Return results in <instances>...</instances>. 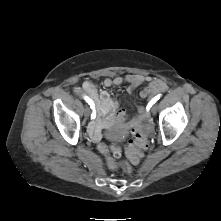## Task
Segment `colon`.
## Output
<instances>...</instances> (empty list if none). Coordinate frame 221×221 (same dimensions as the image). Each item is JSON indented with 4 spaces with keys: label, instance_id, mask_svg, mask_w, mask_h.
<instances>
[{
    "label": "colon",
    "instance_id": "obj_1",
    "mask_svg": "<svg viewBox=\"0 0 221 221\" xmlns=\"http://www.w3.org/2000/svg\"><path fill=\"white\" fill-rule=\"evenodd\" d=\"M132 139L125 147V155L129 159L130 163L137 164L143 156V151L147 148V140L136 129L131 131ZM98 150L106 157L108 165L111 168L117 167L116 160L121 156L122 150L119 146L108 145L106 143H99ZM122 168L126 173L132 172V167L129 163H122Z\"/></svg>",
    "mask_w": 221,
    "mask_h": 221
}]
</instances>
